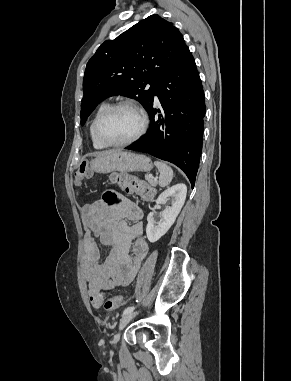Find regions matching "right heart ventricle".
Here are the masks:
<instances>
[{"label":"right heart ventricle","instance_id":"1","mask_svg":"<svg viewBox=\"0 0 291 381\" xmlns=\"http://www.w3.org/2000/svg\"><path fill=\"white\" fill-rule=\"evenodd\" d=\"M110 105L108 103H102L98 109L96 110V112L94 113L92 119H91V122H90V125H89V134H90V139H91V143L93 145V147L95 149H104L108 146L104 145L96 136L95 134V122L97 120V118L99 117V115L105 111Z\"/></svg>","mask_w":291,"mask_h":381}]
</instances>
